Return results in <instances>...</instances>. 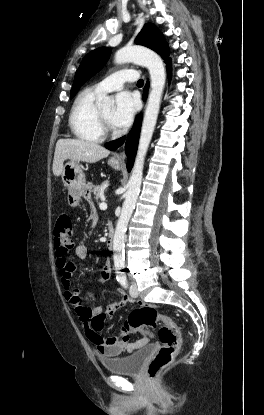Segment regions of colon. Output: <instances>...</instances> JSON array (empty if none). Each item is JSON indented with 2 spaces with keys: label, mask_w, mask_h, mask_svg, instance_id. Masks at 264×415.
<instances>
[{
  "label": "colon",
  "mask_w": 264,
  "mask_h": 415,
  "mask_svg": "<svg viewBox=\"0 0 264 415\" xmlns=\"http://www.w3.org/2000/svg\"><path fill=\"white\" fill-rule=\"evenodd\" d=\"M54 239L59 250H70L73 239L72 222L68 214H61L58 217L54 230ZM91 310L89 319L95 332L91 336V339L99 341L101 339L99 331L103 328L105 313L96 307ZM156 323L162 324L159 330L162 347L148 365L147 374L151 381L158 379L162 370L172 362L173 357L179 351L182 343L179 326L170 316L158 311L155 307L142 305L128 316L121 332V340L126 342L129 339L127 328H136L142 333L149 335L148 328L154 326Z\"/></svg>",
  "instance_id": "colon-1"
}]
</instances>
